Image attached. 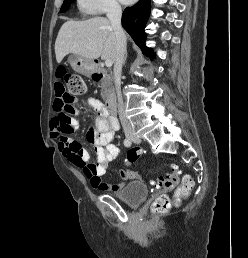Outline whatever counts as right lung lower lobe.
I'll return each mask as SVG.
<instances>
[{
  "instance_id": "obj_1",
  "label": "right lung lower lobe",
  "mask_w": 248,
  "mask_h": 258,
  "mask_svg": "<svg viewBox=\"0 0 248 258\" xmlns=\"http://www.w3.org/2000/svg\"><path fill=\"white\" fill-rule=\"evenodd\" d=\"M150 13V0H139L137 4L132 7H127L122 16V26L130 34L135 43L141 48L142 52L154 57L153 51L146 47L144 32L145 24Z\"/></svg>"
}]
</instances>
